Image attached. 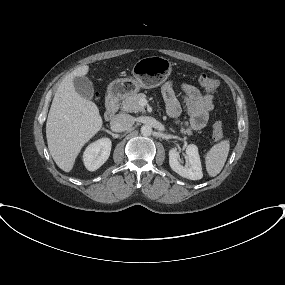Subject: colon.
<instances>
[{
	"mask_svg": "<svg viewBox=\"0 0 285 285\" xmlns=\"http://www.w3.org/2000/svg\"><path fill=\"white\" fill-rule=\"evenodd\" d=\"M199 84L201 85L202 88H204L205 90L209 91V92H216L218 87H219V83L217 80L203 74L199 77ZM212 136H213V140L215 142H219L223 139L224 137V133H223V127L221 125L220 122H217L214 127H213V131H212Z\"/></svg>",
	"mask_w": 285,
	"mask_h": 285,
	"instance_id": "5ec220e1",
	"label": "colon"
}]
</instances>
